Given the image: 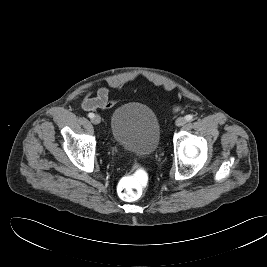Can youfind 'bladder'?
<instances>
[{
	"instance_id": "obj_1",
	"label": "bladder",
	"mask_w": 267,
	"mask_h": 267,
	"mask_svg": "<svg viewBox=\"0 0 267 267\" xmlns=\"http://www.w3.org/2000/svg\"><path fill=\"white\" fill-rule=\"evenodd\" d=\"M112 140L137 157L146 158L158 148L161 127L155 112L141 102H127L112 114Z\"/></svg>"
}]
</instances>
